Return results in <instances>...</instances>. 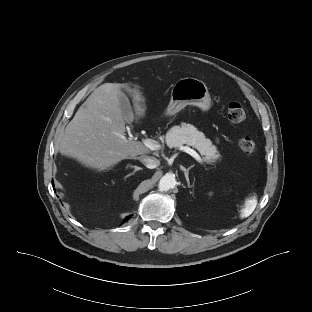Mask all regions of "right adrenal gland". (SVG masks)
<instances>
[{"label": "right adrenal gland", "mask_w": 312, "mask_h": 312, "mask_svg": "<svg viewBox=\"0 0 312 312\" xmlns=\"http://www.w3.org/2000/svg\"><path fill=\"white\" fill-rule=\"evenodd\" d=\"M128 167L134 168V170H133L132 173H129L128 175H126V176L124 177V179H126V178H128L129 176L133 175L135 172H137V171L143 169V168L138 167V166H136V165H128L127 168H128Z\"/></svg>", "instance_id": "1"}]
</instances>
